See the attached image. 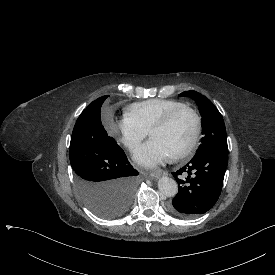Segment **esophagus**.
<instances>
[{"mask_svg":"<svg viewBox=\"0 0 275 275\" xmlns=\"http://www.w3.org/2000/svg\"><path fill=\"white\" fill-rule=\"evenodd\" d=\"M152 177L159 178L163 175H165V171L162 169L156 170L150 174Z\"/></svg>","mask_w":275,"mask_h":275,"instance_id":"34e87169","label":"esophagus"}]
</instances>
